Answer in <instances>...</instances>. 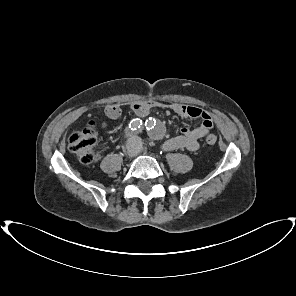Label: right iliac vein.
<instances>
[{
	"mask_svg": "<svg viewBox=\"0 0 296 296\" xmlns=\"http://www.w3.org/2000/svg\"><path fill=\"white\" fill-rule=\"evenodd\" d=\"M125 154H126L128 157H133V156H135L136 151H135V148H134V145H133V144L129 143V144L126 146Z\"/></svg>",
	"mask_w": 296,
	"mask_h": 296,
	"instance_id": "63e3f726",
	"label": "right iliac vein"
}]
</instances>
